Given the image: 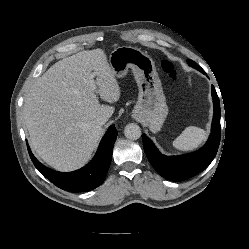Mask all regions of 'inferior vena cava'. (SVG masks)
<instances>
[{"label": "inferior vena cava", "mask_w": 249, "mask_h": 249, "mask_svg": "<svg viewBox=\"0 0 249 249\" xmlns=\"http://www.w3.org/2000/svg\"><path fill=\"white\" fill-rule=\"evenodd\" d=\"M108 116L106 115H103V116H100L97 121L100 125H104L107 121H108Z\"/></svg>", "instance_id": "inferior-vena-cava-1"}]
</instances>
